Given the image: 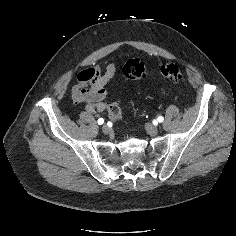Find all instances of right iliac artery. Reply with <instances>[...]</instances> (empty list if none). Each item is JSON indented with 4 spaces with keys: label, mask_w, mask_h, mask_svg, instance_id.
<instances>
[{
    "label": "right iliac artery",
    "mask_w": 236,
    "mask_h": 236,
    "mask_svg": "<svg viewBox=\"0 0 236 236\" xmlns=\"http://www.w3.org/2000/svg\"><path fill=\"white\" fill-rule=\"evenodd\" d=\"M97 122H98L99 125H102L104 123V119L103 118H99Z\"/></svg>",
    "instance_id": "right-iliac-artery-1"
}]
</instances>
